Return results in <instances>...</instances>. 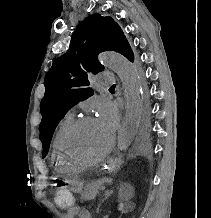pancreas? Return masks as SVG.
<instances>
[{
    "instance_id": "pancreas-1",
    "label": "pancreas",
    "mask_w": 211,
    "mask_h": 218,
    "mask_svg": "<svg viewBox=\"0 0 211 218\" xmlns=\"http://www.w3.org/2000/svg\"><path fill=\"white\" fill-rule=\"evenodd\" d=\"M99 190H103L102 184H100V182H93V184H88V186H85L81 194V198H84V200H94L97 194H99Z\"/></svg>"
}]
</instances>
